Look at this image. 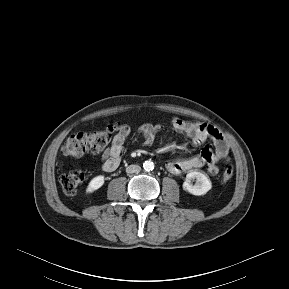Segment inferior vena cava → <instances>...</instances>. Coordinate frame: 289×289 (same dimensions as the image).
I'll return each mask as SVG.
<instances>
[{
    "label": "inferior vena cava",
    "mask_w": 289,
    "mask_h": 289,
    "mask_svg": "<svg viewBox=\"0 0 289 289\" xmlns=\"http://www.w3.org/2000/svg\"><path fill=\"white\" fill-rule=\"evenodd\" d=\"M140 171H141V167L139 165H135V164L130 165L126 168V172L130 173V174L139 173Z\"/></svg>",
    "instance_id": "602c4592"
}]
</instances>
